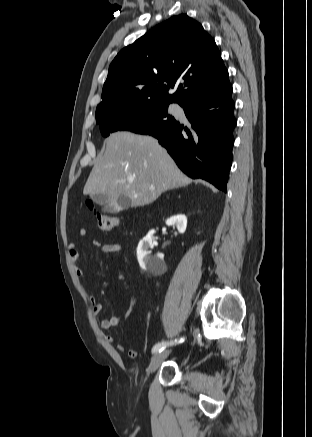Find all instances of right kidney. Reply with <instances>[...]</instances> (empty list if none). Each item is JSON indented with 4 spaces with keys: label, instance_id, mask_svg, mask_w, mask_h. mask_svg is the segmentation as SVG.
<instances>
[{
    "label": "right kidney",
    "instance_id": "ca27d5eb",
    "mask_svg": "<svg viewBox=\"0 0 312 437\" xmlns=\"http://www.w3.org/2000/svg\"><path fill=\"white\" fill-rule=\"evenodd\" d=\"M168 226L176 225L179 233H184L187 227V218L185 215H177L167 219ZM154 230L150 231L138 244L137 258L141 268L144 270L155 272L164 266L163 258L156 255L152 256L149 249L154 247L152 235Z\"/></svg>",
    "mask_w": 312,
    "mask_h": 437
}]
</instances>
